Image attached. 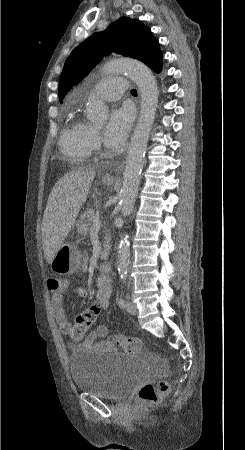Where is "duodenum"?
I'll list each match as a JSON object with an SVG mask.
<instances>
[{"mask_svg": "<svg viewBox=\"0 0 245 450\" xmlns=\"http://www.w3.org/2000/svg\"><path fill=\"white\" fill-rule=\"evenodd\" d=\"M100 271H101V273L106 274V275L110 274L111 271H112V264H111V262L103 263L100 266Z\"/></svg>", "mask_w": 245, "mask_h": 450, "instance_id": "obj_1", "label": "duodenum"}]
</instances>
